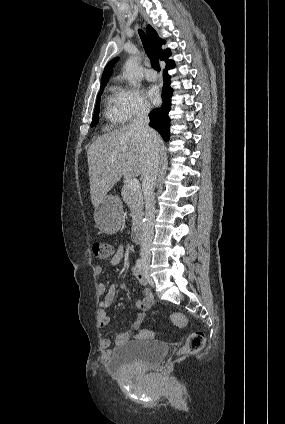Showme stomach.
Listing matches in <instances>:
<instances>
[{
    "instance_id": "0dacf381",
    "label": "stomach",
    "mask_w": 285,
    "mask_h": 424,
    "mask_svg": "<svg viewBox=\"0 0 285 424\" xmlns=\"http://www.w3.org/2000/svg\"><path fill=\"white\" fill-rule=\"evenodd\" d=\"M123 205L116 195H106L95 207L94 220L97 227L105 233H115L121 226Z\"/></svg>"
}]
</instances>
